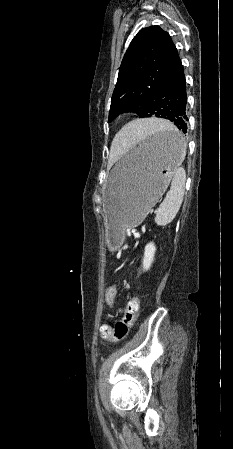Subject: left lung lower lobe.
Listing matches in <instances>:
<instances>
[{
  "mask_svg": "<svg viewBox=\"0 0 233 449\" xmlns=\"http://www.w3.org/2000/svg\"><path fill=\"white\" fill-rule=\"evenodd\" d=\"M186 80L183 65L180 63L163 81L152 97L144 117L156 116L173 122L182 132H187ZM158 141L175 146L181 143L182 136L161 135Z\"/></svg>",
  "mask_w": 233,
  "mask_h": 449,
  "instance_id": "left-lung-lower-lobe-1",
  "label": "left lung lower lobe"
}]
</instances>
